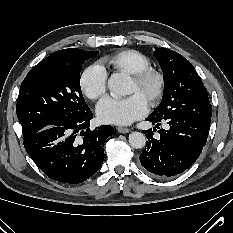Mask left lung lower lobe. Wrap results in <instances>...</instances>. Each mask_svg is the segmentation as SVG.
<instances>
[{
    "mask_svg": "<svg viewBox=\"0 0 233 233\" xmlns=\"http://www.w3.org/2000/svg\"><path fill=\"white\" fill-rule=\"evenodd\" d=\"M155 128L145 131L148 139L140 155L142 166L152 174L161 177L175 176L190 168L200 156L206 144L210 123L193 117L180 115L159 120L148 116ZM169 124L167 130L161 129L160 122ZM160 137H153L157 131Z\"/></svg>",
    "mask_w": 233,
    "mask_h": 233,
    "instance_id": "1",
    "label": "left lung lower lobe"
}]
</instances>
